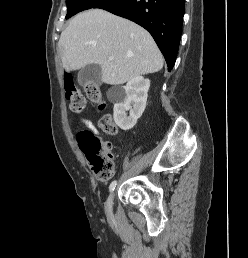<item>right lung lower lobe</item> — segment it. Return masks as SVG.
Returning <instances> with one entry per match:
<instances>
[{"instance_id": "right-lung-lower-lobe-1", "label": "right lung lower lobe", "mask_w": 248, "mask_h": 258, "mask_svg": "<svg viewBox=\"0 0 248 258\" xmlns=\"http://www.w3.org/2000/svg\"><path fill=\"white\" fill-rule=\"evenodd\" d=\"M184 0H110L97 8L127 18L154 38L168 66H174L185 12Z\"/></svg>"}]
</instances>
